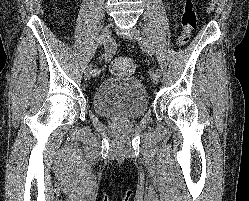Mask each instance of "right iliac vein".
I'll list each match as a JSON object with an SVG mask.
<instances>
[{"mask_svg": "<svg viewBox=\"0 0 249 201\" xmlns=\"http://www.w3.org/2000/svg\"><path fill=\"white\" fill-rule=\"evenodd\" d=\"M110 33H111V27L109 25L105 26L104 29L102 30L101 35H100L101 44H103V45L107 44ZM92 70H93L92 65L87 66V68L84 72L85 80H89L91 78Z\"/></svg>", "mask_w": 249, "mask_h": 201, "instance_id": "right-iliac-vein-1", "label": "right iliac vein"}]
</instances>
